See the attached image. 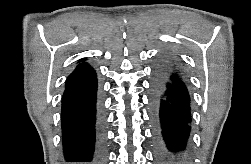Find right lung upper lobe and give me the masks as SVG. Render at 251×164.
Here are the masks:
<instances>
[{
	"label": "right lung upper lobe",
	"mask_w": 251,
	"mask_h": 164,
	"mask_svg": "<svg viewBox=\"0 0 251 164\" xmlns=\"http://www.w3.org/2000/svg\"><path fill=\"white\" fill-rule=\"evenodd\" d=\"M84 59L80 60V62H82ZM82 64H85V63H80L79 65H82Z\"/></svg>",
	"instance_id": "cb5924a9"
}]
</instances>
